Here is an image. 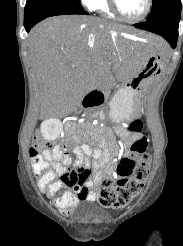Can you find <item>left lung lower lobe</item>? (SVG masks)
I'll list each match as a JSON object with an SVG mask.
<instances>
[{
  "label": "left lung lower lobe",
  "mask_w": 183,
  "mask_h": 246,
  "mask_svg": "<svg viewBox=\"0 0 183 246\" xmlns=\"http://www.w3.org/2000/svg\"><path fill=\"white\" fill-rule=\"evenodd\" d=\"M181 6V2H179L161 13L159 16L137 23L134 27L162 36L174 49L177 45Z\"/></svg>",
  "instance_id": "0a47b994"
}]
</instances>
